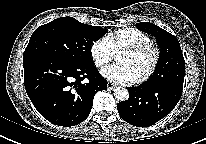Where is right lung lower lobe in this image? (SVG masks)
Instances as JSON below:
<instances>
[{
	"label": "right lung lower lobe",
	"instance_id": "obj_1",
	"mask_svg": "<svg viewBox=\"0 0 206 144\" xmlns=\"http://www.w3.org/2000/svg\"><path fill=\"white\" fill-rule=\"evenodd\" d=\"M26 92L49 122L74 126L90 114L93 98L107 88L94 63L72 64L45 56L23 58ZM87 79V80H86Z\"/></svg>",
	"mask_w": 206,
	"mask_h": 144
}]
</instances>
